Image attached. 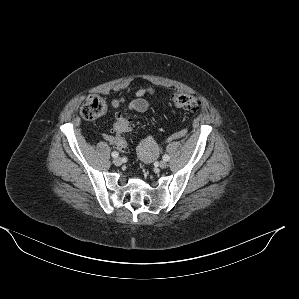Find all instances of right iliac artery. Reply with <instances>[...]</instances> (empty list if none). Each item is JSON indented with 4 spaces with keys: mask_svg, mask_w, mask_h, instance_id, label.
I'll return each mask as SVG.
<instances>
[{
    "mask_svg": "<svg viewBox=\"0 0 299 299\" xmlns=\"http://www.w3.org/2000/svg\"><path fill=\"white\" fill-rule=\"evenodd\" d=\"M118 155H119V153L118 152H116V151H114V152H112V157H118Z\"/></svg>",
    "mask_w": 299,
    "mask_h": 299,
    "instance_id": "82829eb1",
    "label": "right iliac artery"
}]
</instances>
